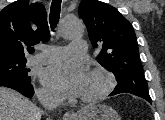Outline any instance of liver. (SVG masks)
<instances>
[{"instance_id": "obj_1", "label": "liver", "mask_w": 165, "mask_h": 120, "mask_svg": "<svg viewBox=\"0 0 165 120\" xmlns=\"http://www.w3.org/2000/svg\"><path fill=\"white\" fill-rule=\"evenodd\" d=\"M41 111L18 92L0 87V120H40Z\"/></svg>"}]
</instances>
